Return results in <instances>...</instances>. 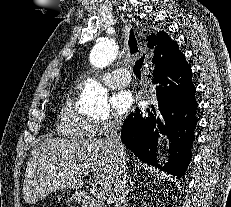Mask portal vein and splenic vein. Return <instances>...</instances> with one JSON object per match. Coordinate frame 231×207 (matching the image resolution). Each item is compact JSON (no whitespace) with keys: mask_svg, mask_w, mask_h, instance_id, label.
<instances>
[{"mask_svg":"<svg viewBox=\"0 0 231 207\" xmlns=\"http://www.w3.org/2000/svg\"><path fill=\"white\" fill-rule=\"evenodd\" d=\"M94 193L96 195V198L98 199H102L104 197V191L102 189L94 190Z\"/></svg>","mask_w":231,"mask_h":207,"instance_id":"1","label":"portal vein and splenic vein"}]
</instances>
